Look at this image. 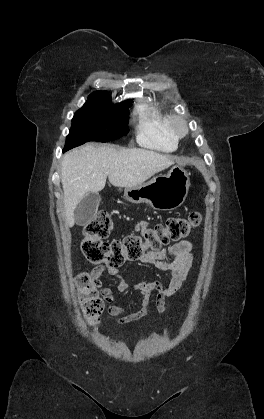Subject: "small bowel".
<instances>
[{"instance_id":"c3829d8e","label":"small bowel","mask_w":264,"mask_h":419,"mask_svg":"<svg viewBox=\"0 0 264 419\" xmlns=\"http://www.w3.org/2000/svg\"><path fill=\"white\" fill-rule=\"evenodd\" d=\"M148 225V222L140 221L136 226V230L142 234L148 229ZM193 246L191 241L182 240L171 245L166 250L147 252L139 259L142 263L153 265L158 270L169 273L170 280L167 285H164L159 279H153L150 281H139L130 287L119 274L118 269L108 268L103 265L93 268L89 275L96 287L100 288V292L107 302L114 300V293L110 288L103 286L101 277L106 272L116 277L117 290L119 292H126L131 288L139 292L141 296V307L134 312L128 313L126 308L118 305L109 306L107 312L115 317V321L120 325L134 323L147 315L151 295L156 293L157 310L159 313H163L167 307V298L174 296L180 290L193 265Z\"/></svg>"}]
</instances>
